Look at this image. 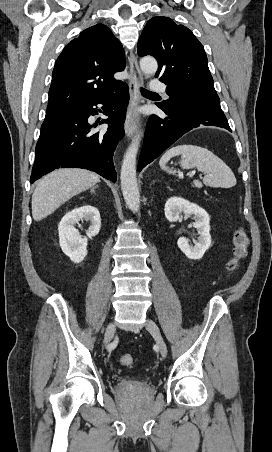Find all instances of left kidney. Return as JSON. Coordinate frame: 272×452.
Listing matches in <instances>:
<instances>
[{"label":"left kidney","mask_w":272,"mask_h":452,"mask_svg":"<svg viewBox=\"0 0 272 452\" xmlns=\"http://www.w3.org/2000/svg\"><path fill=\"white\" fill-rule=\"evenodd\" d=\"M164 211L165 217L169 222L179 220L181 213L193 216L195 220L193 226L197 229L199 235L198 242L192 246L185 237H180L177 245L189 259H201L211 245L210 217L208 213L197 204L176 196L170 197L166 201Z\"/></svg>","instance_id":"1"}]
</instances>
